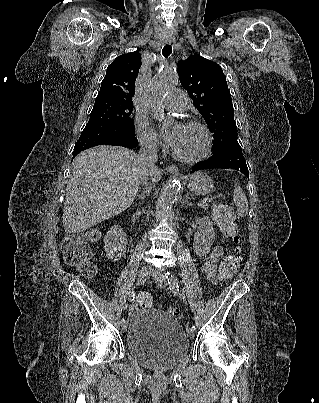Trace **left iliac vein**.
I'll return each instance as SVG.
<instances>
[{"instance_id":"1","label":"left iliac vein","mask_w":319,"mask_h":403,"mask_svg":"<svg viewBox=\"0 0 319 403\" xmlns=\"http://www.w3.org/2000/svg\"><path fill=\"white\" fill-rule=\"evenodd\" d=\"M152 276H153V278H154L156 284H157L159 287L164 288V287L167 286L166 277H165V275H163L161 272L153 271V272H152ZM187 335H188L189 338H192V337L194 336V331L190 329V330L187 332Z\"/></svg>"}]
</instances>
